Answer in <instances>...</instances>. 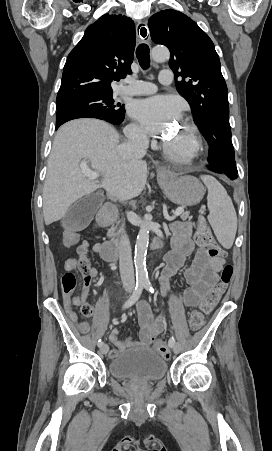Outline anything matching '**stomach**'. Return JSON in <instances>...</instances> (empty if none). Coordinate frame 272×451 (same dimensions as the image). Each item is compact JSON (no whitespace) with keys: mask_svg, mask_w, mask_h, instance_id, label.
Wrapping results in <instances>:
<instances>
[{"mask_svg":"<svg viewBox=\"0 0 272 451\" xmlns=\"http://www.w3.org/2000/svg\"><path fill=\"white\" fill-rule=\"evenodd\" d=\"M157 182L165 196L178 206H196L205 194L204 186L194 176L169 174L167 178H163L161 174H157Z\"/></svg>","mask_w":272,"mask_h":451,"instance_id":"stomach-1","label":"stomach"}]
</instances>
